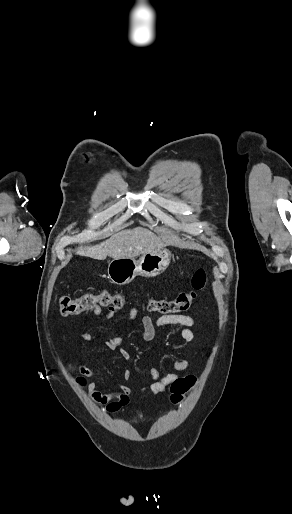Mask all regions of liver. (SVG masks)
<instances>
[{"label": "liver", "mask_w": 292, "mask_h": 514, "mask_svg": "<svg viewBox=\"0 0 292 514\" xmlns=\"http://www.w3.org/2000/svg\"><path fill=\"white\" fill-rule=\"evenodd\" d=\"M166 240L157 238L150 230L134 228V230H122L111 236L109 240L97 244V246H81L77 248L78 256H88L94 260H106L107 256L119 260V258H136L140 254L165 248Z\"/></svg>", "instance_id": "obj_1"}]
</instances>
